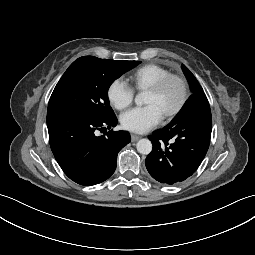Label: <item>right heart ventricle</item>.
Masks as SVG:
<instances>
[{
    "label": "right heart ventricle",
    "mask_w": 255,
    "mask_h": 255,
    "mask_svg": "<svg viewBox=\"0 0 255 255\" xmlns=\"http://www.w3.org/2000/svg\"><path fill=\"white\" fill-rule=\"evenodd\" d=\"M171 72L158 64L149 63L139 67L131 76L134 87L139 91H145L162 77Z\"/></svg>",
    "instance_id": "obj_1"
}]
</instances>
